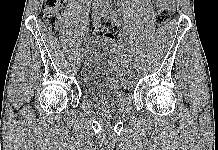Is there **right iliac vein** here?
I'll return each mask as SVG.
<instances>
[{"label": "right iliac vein", "mask_w": 218, "mask_h": 150, "mask_svg": "<svg viewBox=\"0 0 218 150\" xmlns=\"http://www.w3.org/2000/svg\"><path fill=\"white\" fill-rule=\"evenodd\" d=\"M93 15H97V16H101L102 15V11L101 9L97 6L95 8H93ZM84 50L82 49L79 53V56L80 57H83L84 56ZM81 63V58L79 59V64Z\"/></svg>", "instance_id": "1"}]
</instances>
